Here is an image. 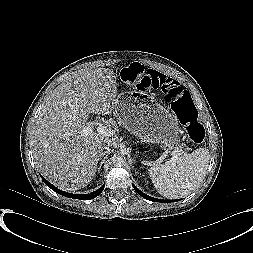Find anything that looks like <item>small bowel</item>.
Returning a JSON list of instances; mask_svg holds the SVG:
<instances>
[{
    "label": "small bowel",
    "instance_id": "small-bowel-1",
    "mask_svg": "<svg viewBox=\"0 0 253 253\" xmlns=\"http://www.w3.org/2000/svg\"><path fill=\"white\" fill-rule=\"evenodd\" d=\"M178 85L180 84L172 77L151 69L147 71L145 79L136 86L143 89L165 90Z\"/></svg>",
    "mask_w": 253,
    "mask_h": 253
}]
</instances>
